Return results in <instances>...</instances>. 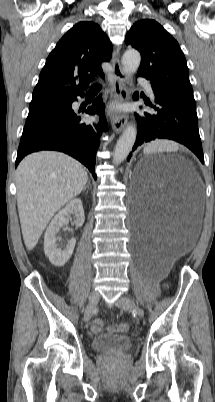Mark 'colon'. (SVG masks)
Masks as SVG:
<instances>
[{"instance_id":"colon-1","label":"colon","mask_w":215,"mask_h":402,"mask_svg":"<svg viewBox=\"0 0 215 402\" xmlns=\"http://www.w3.org/2000/svg\"><path fill=\"white\" fill-rule=\"evenodd\" d=\"M103 327H104V324L99 319L94 320L91 325V329L94 333H100L103 330ZM115 329L118 331H127L128 326L126 324H120V325L116 326Z\"/></svg>"}]
</instances>
